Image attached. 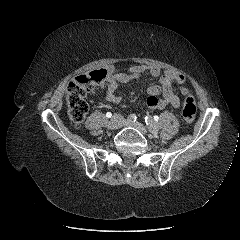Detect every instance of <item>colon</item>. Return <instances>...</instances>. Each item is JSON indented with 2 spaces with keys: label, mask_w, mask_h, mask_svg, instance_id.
Listing matches in <instances>:
<instances>
[{
  "label": "colon",
  "mask_w": 240,
  "mask_h": 240,
  "mask_svg": "<svg viewBox=\"0 0 240 240\" xmlns=\"http://www.w3.org/2000/svg\"><path fill=\"white\" fill-rule=\"evenodd\" d=\"M105 69L93 70L87 74L75 77L67 88L68 116L71 122L79 127L83 122L89 106L86 100L88 92L95 86L101 85L106 79ZM196 115V103L194 96L187 91L182 109V116L186 123L194 121Z\"/></svg>",
  "instance_id": "5ec220e1"
}]
</instances>
